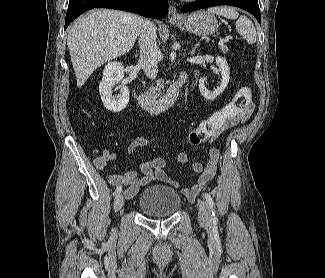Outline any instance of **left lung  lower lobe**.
Wrapping results in <instances>:
<instances>
[{
    "mask_svg": "<svg viewBox=\"0 0 325 278\" xmlns=\"http://www.w3.org/2000/svg\"><path fill=\"white\" fill-rule=\"evenodd\" d=\"M218 5H230L242 8L253 14L259 23L261 22L258 0H198L194 3L184 5L182 7V11L190 12L193 10Z\"/></svg>",
    "mask_w": 325,
    "mask_h": 278,
    "instance_id": "1",
    "label": "left lung lower lobe"
}]
</instances>
